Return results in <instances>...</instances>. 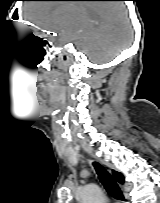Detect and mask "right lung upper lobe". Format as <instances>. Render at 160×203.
<instances>
[{"label": "right lung upper lobe", "instance_id": "right-lung-upper-lobe-1", "mask_svg": "<svg viewBox=\"0 0 160 203\" xmlns=\"http://www.w3.org/2000/svg\"><path fill=\"white\" fill-rule=\"evenodd\" d=\"M113 175H114V178L120 183V184H123L124 183V177L121 173L119 172H116V171H113Z\"/></svg>", "mask_w": 160, "mask_h": 203}]
</instances>
